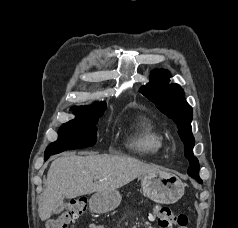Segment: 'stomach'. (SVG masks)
Wrapping results in <instances>:
<instances>
[{
    "instance_id": "stomach-1",
    "label": "stomach",
    "mask_w": 238,
    "mask_h": 228,
    "mask_svg": "<svg viewBox=\"0 0 238 228\" xmlns=\"http://www.w3.org/2000/svg\"><path fill=\"white\" fill-rule=\"evenodd\" d=\"M141 187L145 196L159 204L175 203L185 191V185L179 177L166 171L142 175ZM121 198L116 190L97 192L90 198L89 205L94 212L106 213L117 208Z\"/></svg>"
}]
</instances>
